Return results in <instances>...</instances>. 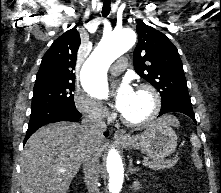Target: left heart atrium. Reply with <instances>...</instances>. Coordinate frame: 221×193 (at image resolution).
<instances>
[{
    "label": "left heart atrium",
    "mask_w": 221,
    "mask_h": 193,
    "mask_svg": "<svg viewBox=\"0 0 221 193\" xmlns=\"http://www.w3.org/2000/svg\"><path fill=\"white\" fill-rule=\"evenodd\" d=\"M135 96V91L128 81L121 82L114 93V105L116 109L125 113L132 103Z\"/></svg>",
    "instance_id": "39dd6f15"
}]
</instances>
